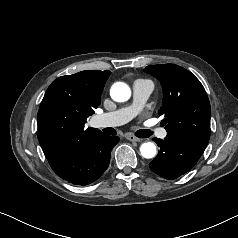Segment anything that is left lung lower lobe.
I'll use <instances>...</instances> for the list:
<instances>
[{
  "mask_svg": "<svg viewBox=\"0 0 238 238\" xmlns=\"http://www.w3.org/2000/svg\"><path fill=\"white\" fill-rule=\"evenodd\" d=\"M160 152L149 164L150 169L166 179H176L192 169L207 145L200 142L170 135L162 139L154 138Z\"/></svg>",
  "mask_w": 238,
  "mask_h": 238,
  "instance_id": "0a47b994",
  "label": "left lung lower lobe"
}]
</instances>
